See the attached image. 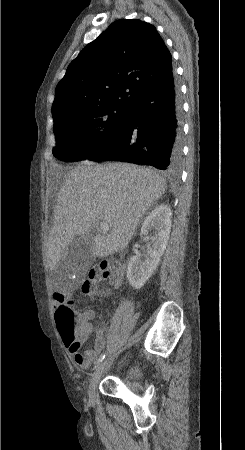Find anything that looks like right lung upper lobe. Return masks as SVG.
Masks as SVG:
<instances>
[{
  "mask_svg": "<svg viewBox=\"0 0 245 450\" xmlns=\"http://www.w3.org/2000/svg\"><path fill=\"white\" fill-rule=\"evenodd\" d=\"M170 70L171 55L153 25L115 21L69 64L56 86L52 112L130 106Z\"/></svg>",
  "mask_w": 245,
  "mask_h": 450,
  "instance_id": "right-lung-upper-lobe-1",
  "label": "right lung upper lobe"
}]
</instances>
